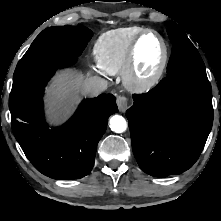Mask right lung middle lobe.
Masks as SVG:
<instances>
[{"mask_svg":"<svg viewBox=\"0 0 221 221\" xmlns=\"http://www.w3.org/2000/svg\"><path fill=\"white\" fill-rule=\"evenodd\" d=\"M92 31L81 26L43 30L20 59L13 76L10 109L39 93L55 70L71 64L86 47Z\"/></svg>","mask_w":221,"mask_h":221,"instance_id":"1","label":"right lung middle lobe"}]
</instances>
